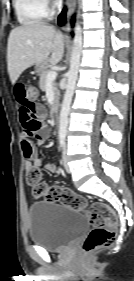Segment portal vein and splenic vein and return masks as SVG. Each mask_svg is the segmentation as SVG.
I'll return each instance as SVG.
<instances>
[{"label":"portal vein and splenic vein","instance_id":"18ae733b","mask_svg":"<svg viewBox=\"0 0 134 281\" xmlns=\"http://www.w3.org/2000/svg\"><path fill=\"white\" fill-rule=\"evenodd\" d=\"M57 77V72L50 71L47 75V81H54Z\"/></svg>","mask_w":134,"mask_h":281}]
</instances>
